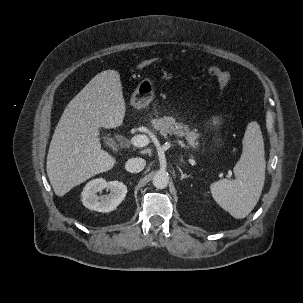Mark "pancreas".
Listing matches in <instances>:
<instances>
[{
    "mask_svg": "<svg viewBox=\"0 0 303 303\" xmlns=\"http://www.w3.org/2000/svg\"><path fill=\"white\" fill-rule=\"evenodd\" d=\"M151 123L153 128L164 137L168 134L175 135L176 137L185 138L194 149L199 147V142L197 141L199 134L195 131H190L188 125L176 122L175 118L168 116L157 117L152 119Z\"/></svg>",
    "mask_w": 303,
    "mask_h": 303,
    "instance_id": "pancreas-1",
    "label": "pancreas"
}]
</instances>
